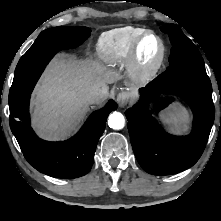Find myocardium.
<instances>
[{
    "instance_id": "1",
    "label": "myocardium",
    "mask_w": 221,
    "mask_h": 221,
    "mask_svg": "<svg viewBox=\"0 0 221 221\" xmlns=\"http://www.w3.org/2000/svg\"><path fill=\"white\" fill-rule=\"evenodd\" d=\"M153 36L155 37L160 45L159 54L156 58V60L150 64L146 65L142 62L141 56H140V50L141 46L144 42V40L147 37ZM166 55V46L165 43L160 35L155 33L154 31L147 30L145 31L135 42L131 55H130V69L133 74V76L141 82H147L154 78L156 74L161 69L164 59Z\"/></svg>"
}]
</instances>
